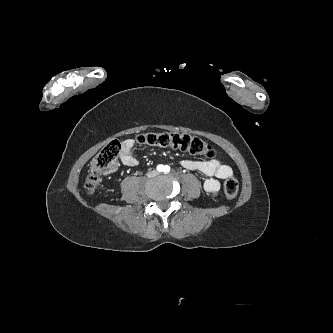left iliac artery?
Here are the masks:
<instances>
[{
  "mask_svg": "<svg viewBox=\"0 0 333 333\" xmlns=\"http://www.w3.org/2000/svg\"><path fill=\"white\" fill-rule=\"evenodd\" d=\"M169 171H170V166L166 165V166L164 167V172H165V173H168Z\"/></svg>",
  "mask_w": 333,
  "mask_h": 333,
  "instance_id": "obj_1",
  "label": "left iliac artery"
}]
</instances>
